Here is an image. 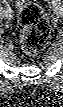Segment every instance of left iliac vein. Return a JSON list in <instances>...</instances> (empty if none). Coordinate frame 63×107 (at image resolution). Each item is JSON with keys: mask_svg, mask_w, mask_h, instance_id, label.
Listing matches in <instances>:
<instances>
[{"mask_svg": "<svg viewBox=\"0 0 63 107\" xmlns=\"http://www.w3.org/2000/svg\"><path fill=\"white\" fill-rule=\"evenodd\" d=\"M53 10L57 16H60L62 14V6L61 5L55 6Z\"/></svg>", "mask_w": 63, "mask_h": 107, "instance_id": "4c4485c4", "label": "left iliac vein"}]
</instances>
